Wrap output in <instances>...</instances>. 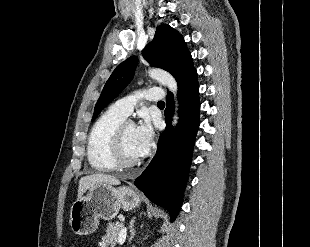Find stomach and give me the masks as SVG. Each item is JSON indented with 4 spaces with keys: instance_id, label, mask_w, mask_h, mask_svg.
Here are the masks:
<instances>
[{
    "instance_id": "stomach-1",
    "label": "stomach",
    "mask_w": 310,
    "mask_h": 247,
    "mask_svg": "<svg viewBox=\"0 0 310 247\" xmlns=\"http://www.w3.org/2000/svg\"><path fill=\"white\" fill-rule=\"evenodd\" d=\"M140 203V196L130 187L114 188L97 184L85 196L73 202L69 214L71 230L77 235L92 234L98 228L100 218L112 220L120 209L129 211Z\"/></svg>"
}]
</instances>
